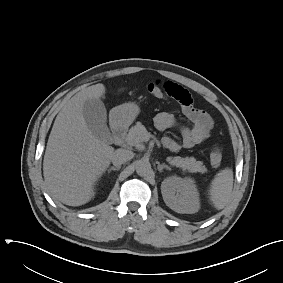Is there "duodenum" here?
<instances>
[{
	"label": "duodenum",
	"instance_id": "obj_1",
	"mask_svg": "<svg viewBox=\"0 0 283 283\" xmlns=\"http://www.w3.org/2000/svg\"><path fill=\"white\" fill-rule=\"evenodd\" d=\"M112 133L115 144L122 145L127 134V126L123 122L115 120L112 125Z\"/></svg>",
	"mask_w": 283,
	"mask_h": 283
}]
</instances>
